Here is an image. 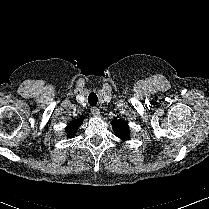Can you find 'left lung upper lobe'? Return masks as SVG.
<instances>
[{
	"mask_svg": "<svg viewBox=\"0 0 209 209\" xmlns=\"http://www.w3.org/2000/svg\"><path fill=\"white\" fill-rule=\"evenodd\" d=\"M111 124L117 137H119L123 141L129 139V126L125 121L114 120Z\"/></svg>",
	"mask_w": 209,
	"mask_h": 209,
	"instance_id": "obj_1",
	"label": "left lung upper lobe"
}]
</instances>
